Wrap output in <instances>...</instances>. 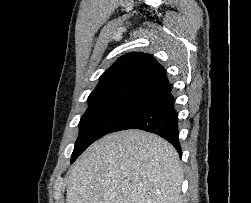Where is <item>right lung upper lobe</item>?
<instances>
[{
    "label": "right lung upper lobe",
    "mask_w": 251,
    "mask_h": 203,
    "mask_svg": "<svg viewBox=\"0 0 251 203\" xmlns=\"http://www.w3.org/2000/svg\"><path fill=\"white\" fill-rule=\"evenodd\" d=\"M172 95L161 65L149 54L133 52L120 57L100 77L89 95V106L125 105L141 110Z\"/></svg>",
    "instance_id": "1"
}]
</instances>
